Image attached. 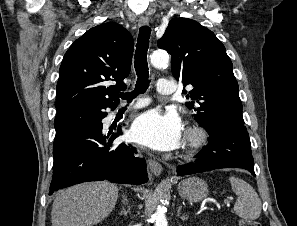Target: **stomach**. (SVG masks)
Wrapping results in <instances>:
<instances>
[{
  "instance_id": "1",
  "label": "stomach",
  "mask_w": 297,
  "mask_h": 226,
  "mask_svg": "<svg viewBox=\"0 0 297 226\" xmlns=\"http://www.w3.org/2000/svg\"><path fill=\"white\" fill-rule=\"evenodd\" d=\"M178 192L181 197L197 202L207 197L208 185L198 177H189L178 184Z\"/></svg>"
}]
</instances>
